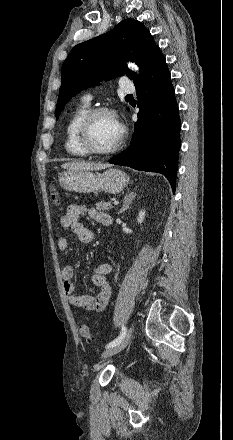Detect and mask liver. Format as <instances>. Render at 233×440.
Listing matches in <instances>:
<instances>
[{"label":"liver","instance_id":"liver-1","mask_svg":"<svg viewBox=\"0 0 233 440\" xmlns=\"http://www.w3.org/2000/svg\"><path fill=\"white\" fill-rule=\"evenodd\" d=\"M109 164H101V163H93V162H85V161H77L64 163L61 165L63 169L67 171H78V170H102L109 167Z\"/></svg>","mask_w":233,"mask_h":440}]
</instances>
